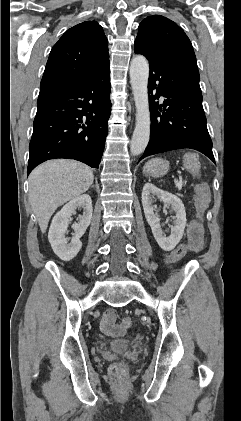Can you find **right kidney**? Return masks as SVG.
<instances>
[{
  "label": "right kidney",
  "instance_id": "obj_1",
  "mask_svg": "<svg viewBox=\"0 0 241 421\" xmlns=\"http://www.w3.org/2000/svg\"><path fill=\"white\" fill-rule=\"evenodd\" d=\"M77 208H83L84 211L80 222L72 225L74 234L69 243L65 233L69 225V218L75 213ZM92 212L91 197L88 194H83L64 205L54 216L49 229L48 239L53 251L60 259L70 261L78 254L82 247L80 238L91 223Z\"/></svg>",
  "mask_w": 241,
  "mask_h": 421
}]
</instances>
